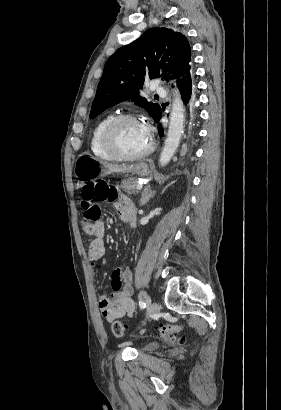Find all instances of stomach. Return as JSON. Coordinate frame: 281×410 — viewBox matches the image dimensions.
<instances>
[{"label":"stomach","mask_w":281,"mask_h":410,"mask_svg":"<svg viewBox=\"0 0 281 410\" xmlns=\"http://www.w3.org/2000/svg\"><path fill=\"white\" fill-rule=\"evenodd\" d=\"M150 172L149 165L143 161L129 166L113 165L89 154H80L74 165L75 177L82 182L112 173H133L148 176Z\"/></svg>","instance_id":"0dacf381"}]
</instances>
